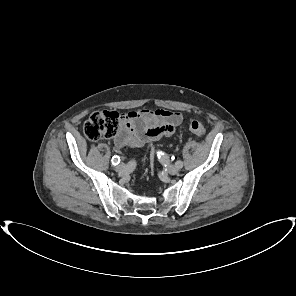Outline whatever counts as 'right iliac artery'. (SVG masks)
Masks as SVG:
<instances>
[{"label": "right iliac artery", "instance_id": "82829eb1", "mask_svg": "<svg viewBox=\"0 0 296 296\" xmlns=\"http://www.w3.org/2000/svg\"><path fill=\"white\" fill-rule=\"evenodd\" d=\"M119 162H120V157L117 156V155L113 156V158H112V164L113 165H117V164H119Z\"/></svg>", "mask_w": 296, "mask_h": 296}]
</instances>
